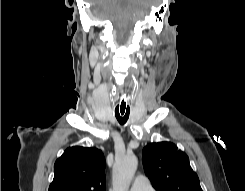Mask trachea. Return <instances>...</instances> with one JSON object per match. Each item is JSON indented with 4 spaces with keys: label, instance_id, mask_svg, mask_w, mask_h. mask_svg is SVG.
<instances>
[{
    "label": "trachea",
    "instance_id": "obj_1",
    "mask_svg": "<svg viewBox=\"0 0 245 191\" xmlns=\"http://www.w3.org/2000/svg\"><path fill=\"white\" fill-rule=\"evenodd\" d=\"M130 110L131 107L129 104L127 93L123 92L115 108L116 119L121 125H124L127 122L130 115Z\"/></svg>",
    "mask_w": 245,
    "mask_h": 191
}]
</instances>
